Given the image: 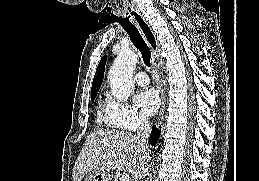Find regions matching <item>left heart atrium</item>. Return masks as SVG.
Masks as SVG:
<instances>
[{
	"instance_id": "obj_1",
	"label": "left heart atrium",
	"mask_w": 259,
	"mask_h": 181,
	"mask_svg": "<svg viewBox=\"0 0 259 181\" xmlns=\"http://www.w3.org/2000/svg\"><path fill=\"white\" fill-rule=\"evenodd\" d=\"M134 102L145 115H152L160 105V95L155 88L147 87L135 94Z\"/></svg>"
}]
</instances>
